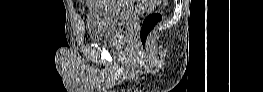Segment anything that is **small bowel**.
<instances>
[{"label":"small bowel","mask_w":263,"mask_h":92,"mask_svg":"<svg viewBox=\"0 0 263 92\" xmlns=\"http://www.w3.org/2000/svg\"><path fill=\"white\" fill-rule=\"evenodd\" d=\"M158 1H152L151 3H157ZM132 5H135V3H130Z\"/></svg>","instance_id":"c3829d8e"}]
</instances>
